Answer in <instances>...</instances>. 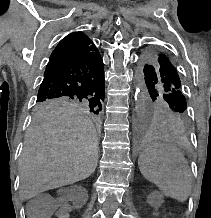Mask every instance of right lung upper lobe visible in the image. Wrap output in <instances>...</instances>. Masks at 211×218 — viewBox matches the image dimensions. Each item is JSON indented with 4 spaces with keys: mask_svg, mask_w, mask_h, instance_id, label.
<instances>
[{
    "mask_svg": "<svg viewBox=\"0 0 211 218\" xmlns=\"http://www.w3.org/2000/svg\"><path fill=\"white\" fill-rule=\"evenodd\" d=\"M92 53H98L92 41L83 33L74 32L62 39L56 46L46 68Z\"/></svg>",
    "mask_w": 211,
    "mask_h": 218,
    "instance_id": "right-lung-upper-lobe-1",
    "label": "right lung upper lobe"
}]
</instances>
